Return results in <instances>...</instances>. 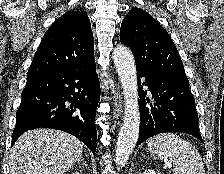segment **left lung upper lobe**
Here are the masks:
<instances>
[{
	"mask_svg": "<svg viewBox=\"0 0 224 174\" xmlns=\"http://www.w3.org/2000/svg\"><path fill=\"white\" fill-rule=\"evenodd\" d=\"M120 41L131 48L136 68L187 78L169 34L146 11H129L121 24Z\"/></svg>",
	"mask_w": 224,
	"mask_h": 174,
	"instance_id": "1",
	"label": "left lung upper lobe"
}]
</instances>
